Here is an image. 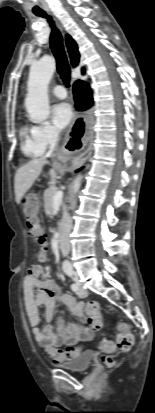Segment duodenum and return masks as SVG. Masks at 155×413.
<instances>
[{
	"label": "duodenum",
	"instance_id": "1",
	"mask_svg": "<svg viewBox=\"0 0 155 413\" xmlns=\"http://www.w3.org/2000/svg\"><path fill=\"white\" fill-rule=\"evenodd\" d=\"M61 234H62V228L59 225L58 229H57L56 236H55V240H56V243H57L58 247H60V245H61Z\"/></svg>",
	"mask_w": 155,
	"mask_h": 413
}]
</instances>
